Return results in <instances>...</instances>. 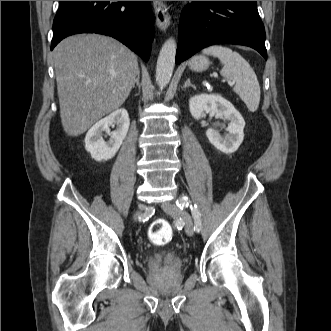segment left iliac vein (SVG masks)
I'll use <instances>...</instances> for the list:
<instances>
[{"label":"left iliac vein","instance_id":"4c4485c4","mask_svg":"<svg viewBox=\"0 0 331 331\" xmlns=\"http://www.w3.org/2000/svg\"><path fill=\"white\" fill-rule=\"evenodd\" d=\"M162 208L164 209V211L180 217L184 222V229H185L186 234L188 236H193V234H194L193 222H192L191 216L189 215V213L187 211L182 210L179 206H176V205L172 204L171 202H164L162 204Z\"/></svg>","mask_w":331,"mask_h":331}]
</instances>
